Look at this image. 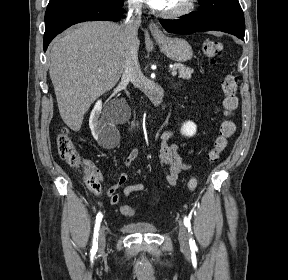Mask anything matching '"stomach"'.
Here are the masks:
<instances>
[{
    "label": "stomach",
    "instance_id": "0dacf381",
    "mask_svg": "<svg viewBox=\"0 0 288 280\" xmlns=\"http://www.w3.org/2000/svg\"><path fill=\"white\" fill-rule=\"evenodd\" d=\"M163 53L171 60L186 62L193 56L191 45L184 39L178 37H154Z\"/></svg>",
    "mask_w": 288,
    "mask_h": 280
}]
</instances>
